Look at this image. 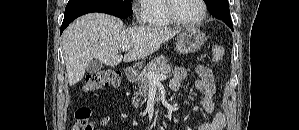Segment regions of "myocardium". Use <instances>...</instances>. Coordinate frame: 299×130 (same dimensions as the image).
Instances as JSON below:
<instances>
[{"label": "myocardium", "instance_id": "f54148a6", "mask_svg": "<svg viewBox=\"0 0 299 130\" xmlns=\"http://www.w3.org/2000/svg\"><path fill=\"white\" fill-rule=\"evenodd\" d=\"M175 1L176 0H167V2H166L168 16L175 24L183 26V27H194V26L201 24L203 22V20L206 18L207 6H206V2L204 0H198L201 5L202 11H201L200 17L193 21H185V20L180 19L177 16V14L175 12V7H174Z\"/></svg>", "mask_w": 299, "mask_h": 130}]
</instances>
